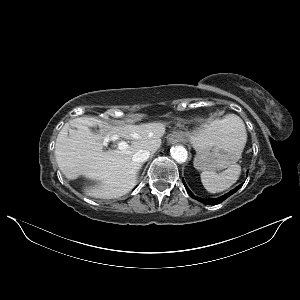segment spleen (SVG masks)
Segmentation results:
<instances>
[{"instance_id": "obj_1", "label": "spleen", "mask_w": 300, "mask_h": 300, "mask_svg": "<svg viewBox=\"0 0 300 300\" xmlns=\"http://www.w3.org/2000/svg\"><path fill=\"white\" fill-rule=\"evenodd\" d=\"M232 120L239 134L243 136V144H246L247 134L244 122L234 114L227 115L223 121ZM241 167L238 164L232 165L227 170L215 173L204 171L201 173V181L205 189L210 193L222 192L230 188L239 178Z\"/></svg>"}]
</instances>
